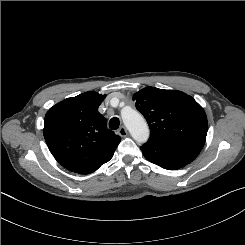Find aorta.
<instances>
[{
  "label": "aorta",
  "instance_id": "aorta-1",
  "mask_svg": "<svg viewBox=\"0 0 245 245\" xmlns=\"http://www.w3.org/2000/svg\"><path fill=\"white\" fill-rule=\"evenodd\" d=\"M123 122L138 143H144L149 137V129L144 118L136 111L129 110L122 115Z\"/></svg>",
  "mask_w": 245,
  "mask_h": 245
}]
</instances>
